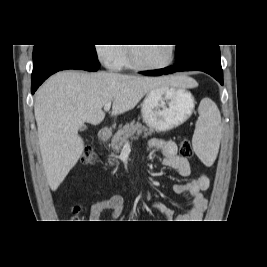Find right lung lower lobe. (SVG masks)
Wrapping results in <instances>:
<instances>
[{
	"mask_svg": "<svg viewBox=\"0 0 267 267\" xmlns=\"http://www.w3.org/2000/svg\"><path fill=\"white\" fill-rule=\"evenodd\" d=\"M77 69L97 71L98 66L78 53L61 45L41 44L33 49V72L31 93L52 74L67 70Z\"/></svg>",
	"mask_w": 267,
	"mask_h": 267,
	"instance_id": "right-lung-lower-lobe-1",
	"label": "right lung lower lobe"
}]
</instances>
